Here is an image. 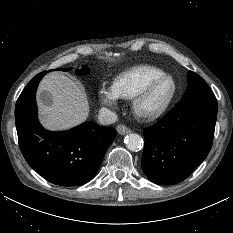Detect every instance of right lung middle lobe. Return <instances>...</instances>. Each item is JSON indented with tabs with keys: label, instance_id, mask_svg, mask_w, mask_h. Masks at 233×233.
<instances>
[{
	"label": "right lung middle lobe",
	"instance_id": "1",
	"mask_svg": "<svg viewBox=\"0 0 233 233\" xmlns=\"http://www.w3.org/2000/svg\"><path fill=\"white\" fill-rule=\"evenodd\" d=\"M72 69V67L71 68H60V69H57V70H61V71H69V70H71ZM76 73L77 74H79V75H85V74H88L89 73V68L88 67H86V66H83V68L82 69H80V70H76Z\"/></svg>",
	"mask_w": 233,
	"mask_h": 233
}]
</instances>
